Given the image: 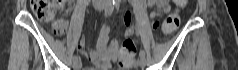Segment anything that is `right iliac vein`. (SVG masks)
Instances as JSON below:
<instances>
[{
    "instance_id": "right-iliac-vein-1",
    "label": "right iliac vein",
    "mask_w": 238,
    "mask_h": 70,
    "mask_svg": "<svg viewBox=\"0 0 238 70\" xmlns=\"http://www.w3.org/2000/svg\"><path fill=\"white\" fill-rule=\"evenodd\" d=\"M96 9L101 10L102 6L98 5V6H96ZM81 67H82V63H81L80 60H74L73 61V69L74 70H80Z\"/></svg>"
}]
</instances>
